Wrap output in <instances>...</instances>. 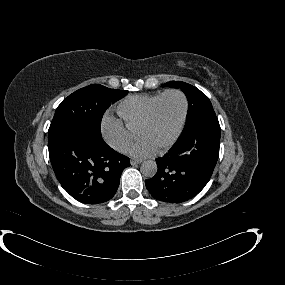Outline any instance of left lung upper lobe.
I'll list each match as a JSON object with an SVG mask.
<instances>
[{
  "label": "left lung upper lobe",
  "mask_w": 285,
  "mask_h": 285,
  "mask_svg": "<svg viewBox=\"0 0 285 285\" xmlns=\"http://www.w3.org/2000/svg\"><path fill=\"white\" fill-rule=\"evenodd\" d=\"M162 86L180 88L187 97L188 112L186 124L182 134L200 121L207 118L216 117L209 98L196 87L181 81H170Z\"/></svg>",
  "instance_id": "left-lung-upper-lobe-1"
}]
</instances>
